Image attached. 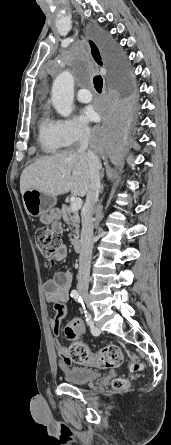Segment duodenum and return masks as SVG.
<instances>
[{"label":"duodenum","mask_w":171,"mask_h":445,"mask_svg":"<svg viewBox=\"0 0 171 445\" xmlns=\"http://www.w3.org/2000/svg\"><path fill=\"white\" fill-rule=\"evenodd\" d=\"M72 244H73L74 250L76 252H81L82 251L83 246H82L81 239L79 237H74L73 240H72Z\"/></svg>","instance_id":"duodenum-1"}]
</instances>
